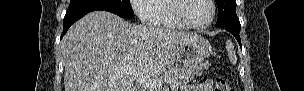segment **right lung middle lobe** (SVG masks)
Listing matches in <instances>:
<instances>
[{
	"mask_svg": "<svg viewBox=\"0 0 304 91\" xmlns=\"http://www.w3.org/2000/svg\"><path fill=\"white\" fill-rule=\"evenodd\" d=\"M109 4L118 16L129 19L134 17L133 10L130 5V0H95ZM71 2V1H70Z\"/></svg>",
	"mask_w": 304,
	"mask_h": 91,
	"instance_id": "1",
	"label": "right lung middle lobe"
}]
</instances>
